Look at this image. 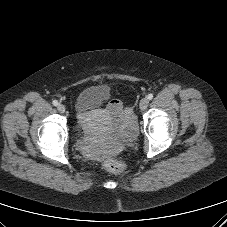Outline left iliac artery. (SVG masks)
I'll return each instance as SVG.
<instances>
[{"mask_svg":"<svg viewBox=\"0 0 227 227\" xmlns=\"http://www.w3.org/2000/svg\"><path fill=\"white\" fill-rule=\"evenodd\" d=\"M147 98H148L149 100H152V99H153V94H149V95L147 96Z\"/></svg>","mask_w":227,"mask_h":227,"instance_id":"obj_1","label":"left iliac artery"}]
</instances>
